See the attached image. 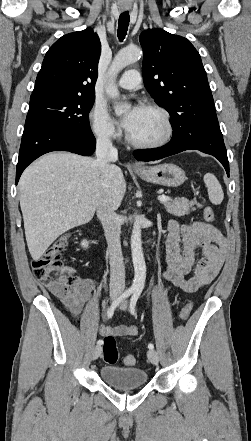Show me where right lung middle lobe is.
<instances>
[{"label": "right lung middle lobe", "instance_id": "dd1d6c3e", "mask_svg": "<svg viewBox=\"0 0 251 441\" xmlns=\"http://www.w3.org/2000/svg\"><path fill=\"white\" fill-rule=\"evenodd\" d=\"M95 96H55L30 101L27 118H37L77 134L90 133L88 114Z\"/></svg>", "mask_w": 251, "mask_h": 441}]
</instances>
